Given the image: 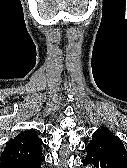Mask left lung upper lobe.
Returning <instances> with one entry per match:
<instances>
[{"label": "left lung upper lobe", "instance_id": "5c2ea615", "mask_svg": "<svg viewBox=\"0 0 127 168\" xmlns=\"http://www.w3.org/2000/svg\"><path fill=\"white\" fill-rule=\"evenodd\" d=\"M93 139L105 140L114 145L122 155L124 161L127 162V151L125 150L123 143L118 137L113 135V133L110 130L106 128L98 129L92 135V140Z\"/></svg>", "mask_w": 127, "mask_h": 168}]
</instances>
